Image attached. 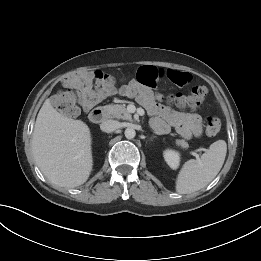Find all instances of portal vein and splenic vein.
Listing matches in <instances>:
<instances>
[{
	"instance_id": "portal-vein-and-splenic-vein-1",
	"label": "portal vein and splenic vein",
	"mask_w": 261,
	"mask_h": 261,
	"mask_svg": "<svg viewBox=\"0 0 261 261\" xmlns=\"http://www.w3.org/2000/svg\"><path fill=\"white\" fill-rule=\"evenodd\" d=\"M203 150V148H200L198 150H196L195 152H192V155L195 156L197 159L199 158V154L197 153L198 151Z\"/></svg>"
}]
</instances>
